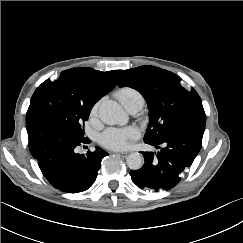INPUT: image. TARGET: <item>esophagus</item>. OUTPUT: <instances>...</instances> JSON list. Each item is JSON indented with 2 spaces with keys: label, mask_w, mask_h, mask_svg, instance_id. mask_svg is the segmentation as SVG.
<instances>
[{
  "label": "esophagus",
  "mask_w": 243,
  "mask_h": 243,
  "mask_svg": "<svg viewBox=\"0 0 243 243\" xmlns=\"http://www.w3.org/2000/svg\"><path fill=\"white\" fill-rule=\"evenodd\" d=\"M119 156L125 158L129 155V152H116Z\"/></svg>",
  "instance_id": "1"
}]
</instances>
